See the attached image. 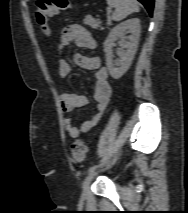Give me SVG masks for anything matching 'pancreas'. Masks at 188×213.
<instances>
[{
  "label": "pancreas",
  "instance_id": "cf45deb5",
  "mask_svg": "<svg viewBox=\"0 0 188 213\" xmlns=\"http://www.w3.org/2000/svg\"><path fill=\"white\" fill-rule=\"evenodd\" d=\"M84 24L93 28V29H97L100 26L101 22L99 20L94 19L91 16H86L85 19L83 20Z\"/></svg>",
  "mask_w": 188,
  "mask_h": 213
}]
</instances>
